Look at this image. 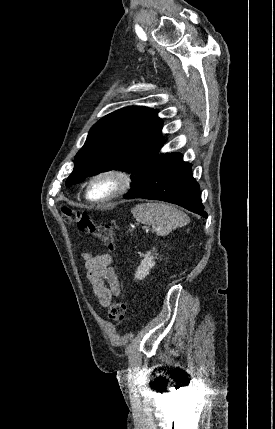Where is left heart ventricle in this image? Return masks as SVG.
Masks as SVG:
<instances>
[{
    "instance_id": "obj_1",
    "label": "left heart ventricle",
    "mask_w": 275,
    "mask_h": 429,
    "mask_svg": "<svg viewBox=\"0 0 275 429\" xmlns=\"http://www.w3.org/2000/svg\"><path fill=\"white\" fill-rule=\"evenodd\" d=\"M113 179L105 177L95 181L91 187L90 195L92 198H101L108 195L114 188Z\"/></svg>"
}]
</instances>
